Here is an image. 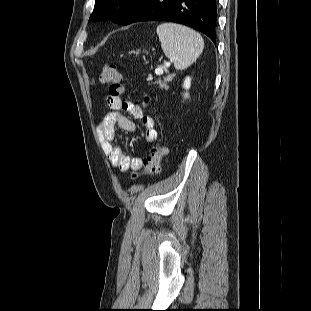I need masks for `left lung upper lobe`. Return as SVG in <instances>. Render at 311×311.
<instances>
[{
	"instance_id": "left-lung-upper-lobe-1",
	"label": "left lung upper lobe",
	"mask_w": 311,
	"mask_h": 311,
	"mask_svg": "<svg viewBox=\"0 0 311 311\" xmlns=\"http://www.w3.org/2000/svg\"><path fill=\"white\" fill-rule=\"evenodd\" d=\"M138 0H95V7L90 16L91 21L111 19L120 23L122 17Z\"/></svg>"
}]
</instances>
